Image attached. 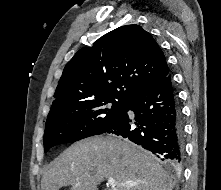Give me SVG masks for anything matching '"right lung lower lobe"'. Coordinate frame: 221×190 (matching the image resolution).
<instances>
[{"label":"right lung lower lobe","mask_w":221,"mask_h":190,"mask_svg":"<svg viewBox=\"0 0 221 190\" xmlns=\"http://www.w3.org/2000/svg\"><path fill=\"white\" fill-rule=\"evenodd\" d=\"M105 133L127 138L170 167H180L184 151L183 122L171 75L128 98L122 118Z\"/></svg>","instance_id":"right-lung-lower-lobe-1"}]
</instances>
